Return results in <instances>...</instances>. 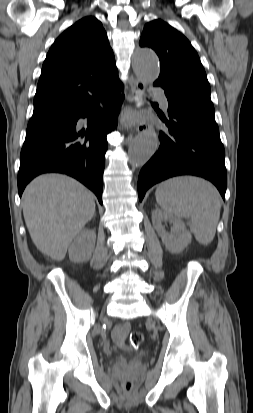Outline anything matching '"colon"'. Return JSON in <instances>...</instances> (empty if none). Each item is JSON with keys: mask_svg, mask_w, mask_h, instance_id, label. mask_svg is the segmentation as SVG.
<instances>
[{"mask_svg": "<svg viewBox=\"0 0 253 413\" xmlns=\"http://www.w3.org/2000/svg\"><path fill=\"white\" fill-rule=\"evenodd\" d=\"M144 341V335L141 332L134 331L130 334L129 344L133 348L139 347ZM122 389L126 393H130L133 389V382L131 379H126L122 383Z\"/></svg>", "mask_w": 253, "mask_h": 413, "instance_id": "5ec220e1", "label": "colon"}]
</instances>
